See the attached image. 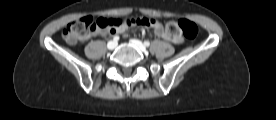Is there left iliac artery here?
<instances>
[{"label": "left iliac artery", "instance_id": "left-iliac-artery-1", "mask_svg": "<svg viewBox=\"0 0 276 120\" xmlns=\"http://www.w3.org/2000/svg\"><path fill=\"white\" fill-rule=\"evenodd\" d=\"M144 45H145V46H149V45H150V42H149V41H144Z\"/></svg>", "mask_w": 276, "mask_h": 120}]
</instances>
